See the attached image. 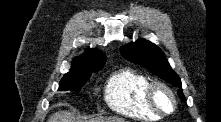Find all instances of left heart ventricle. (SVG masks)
Here are the masks:
<instances>
[{"label":"left heart ventricle","mask_w":221,"mask_h":122,"mask_svg":"<svg viewBox=\"0 0 221 122\" xmlns=\"http://www.w3.org/2000/svg\"><path fill=\"white\" fill-rule=\"evenodd\" d=\"M157 102L159 104V106L165 110V111H170L172 108V101L171 98L169 97V95L163 91V90H158L157 91Z\"/></svg>","instance_id":"left-heart-ventricle-1"}]
</instances>
